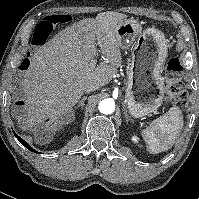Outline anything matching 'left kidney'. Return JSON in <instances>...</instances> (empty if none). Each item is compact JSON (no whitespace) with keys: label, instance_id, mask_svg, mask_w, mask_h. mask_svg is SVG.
<instances>
[{"label":"left kidney","instance_id":"obj_1","mask_svg":"<svg viewBox=\"0 0 199 199\" xmlns=\"http://www.w3.org/2000/svg\"><path fill=\"white\" fill-rule=\"evenodd\" d=\"M132 141H133L134 143H138V141H139L138 136L133 135V136H132Z\"/></svg>","mask_w":199,"mask_h":199}]
</instances>
